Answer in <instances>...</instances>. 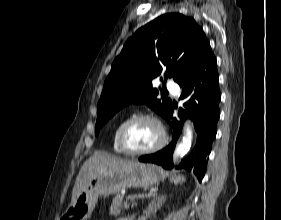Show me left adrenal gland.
<instances>
[{"mask_svg":"<svg viewBox=\"0 0 281 220\" xmlns=\"http://www.w3.org/2000/svg\"><path fill=\"white\" fill-rule=\"evenodd\" d=\"M152 197V201L148 204L147 209L144 211L146 217H150L153 213H155L166 200V196L164 195L153 194Z\"/></svg>","mask_w":281,"mask_h":220,"instance_id":"1","label":"left adrenal gland"}]
</instances>
